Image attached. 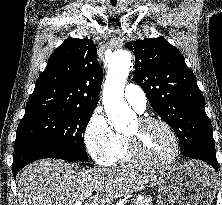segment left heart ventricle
Masks as SVG:
<instances>
[{
  "label": "left heart ventricle",
  "mask_w": 222,
  "mask_h": 205,
  "mask_svg": "<svg viewBox=\"0 0 222 205\" xmlns=\"http://www.w3.org/2000/svg\"><path fill=\"white\" fill-rule=\"evenodd\" d=\"M126 134L138 138L141 152L148 159L162 161L173 151L171 136L158 124L141 126L136 120Z\"/></svg>",
  "instance_id": "left-heart-ventricle-1"
}]
</instances>
